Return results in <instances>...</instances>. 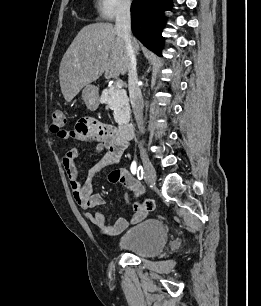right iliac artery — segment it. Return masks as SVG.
<instances>
[{
    "label": "right iliac artery",
    "mask_w": 261,
    "mask_h": 306,
    "mask_svg": "<svg viewBox=\"0 0 261 306\" xmlns=\"http://www.w3.org/2000/svg\"><path fill=\"white\" fill-rule=\"evenodd\" d=\"M131 172L133 174L136 173V162L133 161L132 164H131ZM137 177L139 180H142L143 177H144V171H143V167L142 166H139L138 169H137Z\"/></svg>",
    "instance_id": "1"
}]
</instances>
